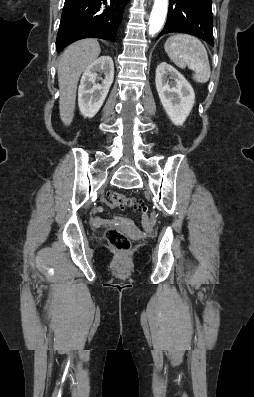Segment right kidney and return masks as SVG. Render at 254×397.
I'll list each match as a JSON object with an SVG mask.
<instances>
[{
    "instance_id": "right-kidney-1",
    "label": "right kidney",
    "mask_w": 254,
    "mask_h": 397,
    "mask_svg": "<svg viewBox=\"0 0 254 397\" xmlns=\"http://www.w3.org/2000/svg\"><path fill=\"white\" fill-rule=\"evenodd\" d=\"M97 72L104 73L102 83H96L99 79ZM114 79V63L110 56H101L93 61L84 71L79 89L78 104L84 117L92 118L101 108Z\"/></svg>"
}]
</instances>
